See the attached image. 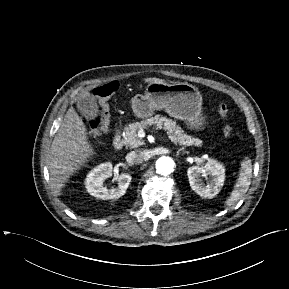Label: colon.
<instances>
[{"instance_id": "colon-1", "label": "colon", "mask_w": 289, "mask_h": 289, "mask_svg": "<svg viewBox=\"0 0 289 289\" xmlns=\"http://www.w3.org/2000/svg\"><path fill=\"white\" fill-rule=\"evenodd\" d=\"M118 87V82L111 81L94 89V95L100 102V114L94 116L88 122L93 131L97 132L107 128L110 118L108 100L118 90ZM217 111L221 118L226 119L228 117L229 108L225 103H219ZM223 132L226 136H231L233 134L232 126L226 124L223 127Z\"/></svg>"}]
</instances>
